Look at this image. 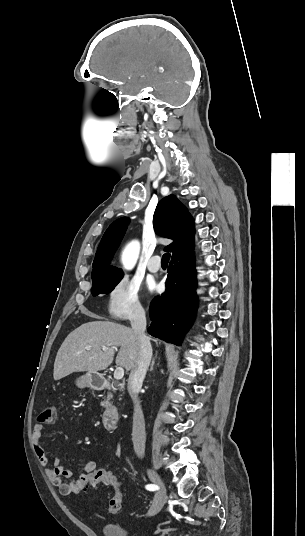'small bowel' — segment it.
I'll return each mask as SVG.
<instances>
[{"label": "small bowel", "instance_id": "obj_1", "mask_svg": "<svg viewBox=\"0 0 305 536\" xmlns=\"http://www.w3.org/2000/svg\"><path fill=\"white\" fill-rule=\"evenodd\" d=\"M44 427H33L32 443L40 465L43 467L51 483L58 488L59 494L63 497L71 494H79L84 491L83 487L86 480L89 479L88 473L93 469L95 461H88L78 472L62 464L59 458L50 460L42 444V434ZM68 480V481H65ZM97 506L102 503L96 502Z\"/></svg>", "mask_w": 305, "mask_h": 536}]
</instances>
